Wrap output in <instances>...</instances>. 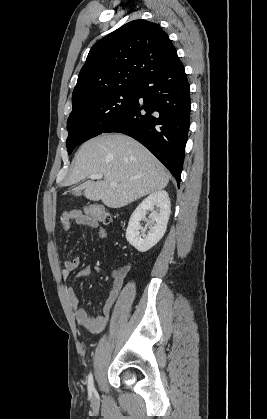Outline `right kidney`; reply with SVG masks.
<instances>
[{
  "instance_id": "1",
  "label": "right kidney",
  "mask_w": 267,
  "mask_h": 419,
  "mask_svg": "<svg viewBox=\"0 0 267 419\" xmlns=\"http://www.w3.org/2000/svg\"><path fill=\"white\" fill-rule=\"evenodd\" d=\"M154 207H157L158 211H154ZM148 210L152 211L149 216L150 223L155 224H148L143 228L140 221L146 220ZM170 213L171 204L168 193L164 190L151 193L138 205L130 217L126 230V239L129 244L139 252L151 249L164 236ZM147 229L149 231L145 234Z\"/></svg>"
}]
</instances>
